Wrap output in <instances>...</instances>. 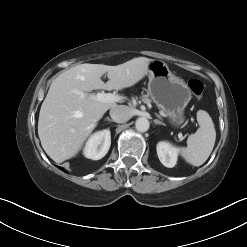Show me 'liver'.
I'll return each mask as SVG.
<instances>
[{"label":"liver","mask_w":247,"mask_h":247,"mask_svg":"<svg viewBox=\"0 0 247 247\" xmlns=\"http://www.w3.org/2000/svg\"><path fill=\"white\" fill-rule=\"evenodd\" d=\"M151 61L138 57L117 66L85 63L60 74L39 113L38 135L47 155L58 163L74 157L106 111L117 106L99 102L88 93L135 85L147 75ZM105 73L106 83L101 80Z\"/></svg>","instance_id":"1"}]
</instances>
